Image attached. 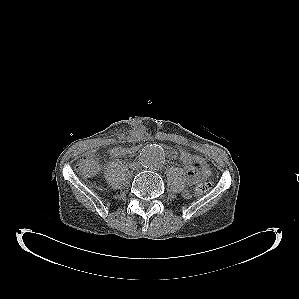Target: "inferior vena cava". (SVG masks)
Wrapping results in <instances>:
<instances>
[{"instance_id":"obj_1","label":"inferior vena cava","mask_w":299,"mask_h":299,"mask_svg":"<svg viewBox=\"0 0 299 299\" xmlns=\"http://www.w3.org/2000/svg\"><path fill=\"white\" fill-rule=\"evenodd\" d=\"M135 167H138V164H135Z\"/></svg>"}]
</instances>
